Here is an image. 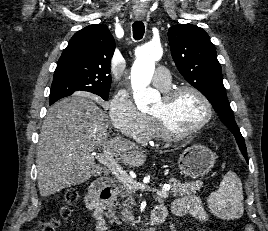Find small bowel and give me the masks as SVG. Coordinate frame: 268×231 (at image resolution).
Listing matches in <instances>:
<instances>
[{"instance_id": "small-bowel-1", "label": "small bowel", "mask_w": 268, "mask_h": 231, "mask_svg": "<svg viewBox=\"0 0 268 231\" xmlns=\"http://www.w3.org/2000/svg\"><path fill=\"white\" fill-rule=\"evenodd\" d=\"M159 210L161 211V214H163L165 217L168 212H172L176 215L190 214L199 220H206L208 217L203 207L202 201L196 195H188L183 196L181 198H177L172 202L169 209L159 208Z\"/></svg>"}]
</instances>
